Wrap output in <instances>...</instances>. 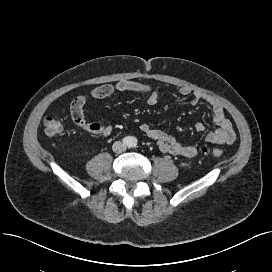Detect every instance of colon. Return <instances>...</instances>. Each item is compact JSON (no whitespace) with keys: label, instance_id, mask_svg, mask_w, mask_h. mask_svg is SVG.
<instances>
[{"label":"colon","instance_id":"obj_1","mask_svg":"<svg viewBox=\"0 0 272 272\" xmlns=\"http://www.w3.org/2000/svg\"><path fill=\"white\" fill-rule=\"evenodd\" d=\"M45 133L47 136L55 137L61 135L64 131V127L57 114L49 115L44 120ZM204 155H212L214 157H221L222 151L217 148L204 147L202 149Z\"/></svg>","mask_w":272,"mask_h":272}]
</instances>
